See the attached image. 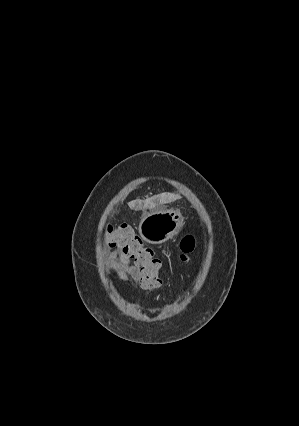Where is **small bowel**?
Returning a JSON list of instances; mask_svg holds the SVG:
<instances>
[{
    "mask_svg": "<svg viewBox=\"0 0 299 426\" xmlns=\"http://www.w3.org/2000/svg\"><path fill=\"white\" fill-rule=\"evenodd\" d=\"M108 273L117 276L120 280L138 284L141 273L137 265L120 249L112 251L106 259Z\"/></svg>",
    "mask_w": 299,
    "mask_h": 426,
    "instance_id": "obj_1",
    "label": "small bowel"
}]
</instances>
